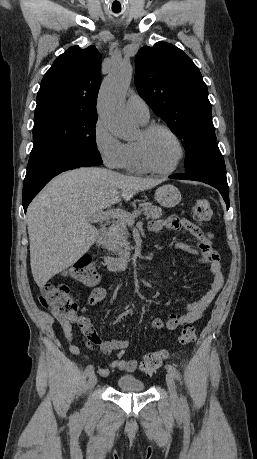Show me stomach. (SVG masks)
<instances>
[{
  "instance_id": "obj_1",
  "label": "stomach",
  "mask_w": 257,
  "mask_h": 459,
  "mask_svg": "<svg viewBox=\"0 0 257 459\" xmlns=\"http://www.w3.org/2000/svg\"><path fill=\"white\" fill-rule=\"evenodd\" d=\"M156 201L163 207L171 208L181 201V193L177 187L167 184L155 191Z\"/></svg>"
}]
</instances>
